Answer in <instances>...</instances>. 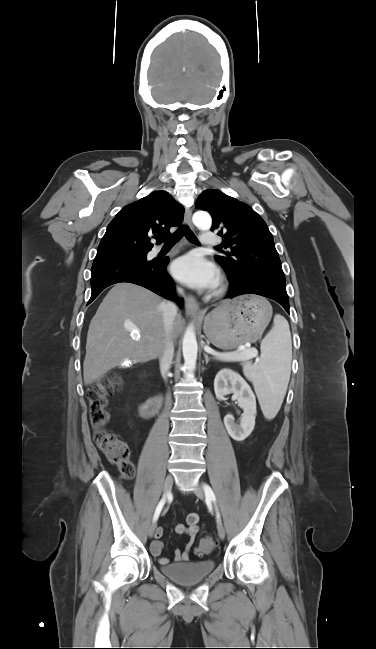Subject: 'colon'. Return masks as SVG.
Segmentation results:
<instances>
[{
    "label": "colon",
    "instance_id": "obj_1",
    "mask_svg": "<svg viewBox=\"0 0 376 649\" xmlns=\"http://www.w3.org/2000/svg\"><path fill=\"white\" fill-rule=\"evenodd\" d=\"M120 385L117 377H104L90 386L86 391V398L90 407V422L94 429V441L98 448L106 455L112 463L119 467L125 478H132L135 474L134 464L129 459V448L116 434L106 430L109 415L106 411L107 397L114 393ZM197 517H192L194 522ZM215 546L211 537H204L200 540L196 552L198 554L208 553Z\"/></svg>",
    "mask_w": 376,
    "mask_h": 649
}]
</instances>
